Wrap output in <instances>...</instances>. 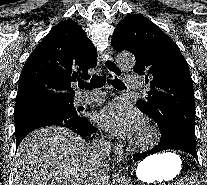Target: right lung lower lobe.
Returning a JSON list of instances; mask_svg holds the SVG:
<instances>
[{
  "instance_id": "obj_1",
  "label": "right lung lower lobe",
  "mask_w": 207,
  "mask_h": 185,
  "mask_svg": "<svg viewBox=\"0 0 207 185\" xmlns=\"http://www.w3.org/2000/svg\"><path fill=\"white\" fill-rule=\"evenodd\" d=\"M52 125L69 128L73 130L74 132H76L77 134H79L82 138L89 136L90 134H93L97 132L98 130L88 121V119L83 120L80 123H73V124H59L51 120L44 121L38 124L22 127L19 130L15 131L16 132V148H18L20 142L24 139V137L27 136L33 130L38 129L40 127L52 126Z\"/></svg>"
}]
</instances>
